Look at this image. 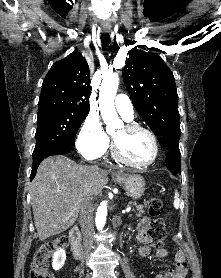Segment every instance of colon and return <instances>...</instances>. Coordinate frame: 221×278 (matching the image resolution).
<instances>
[{"instance_id":"colon-1","label":"colon","mask_w":221,"mask_h":278,"mask_svg":"<svg viewBox=\"0 0 221 278\" xmlns=\"http://www.w3.org/2000/svg\"><path fill=\"white\" fill-rule=\"evenodd\" d=\"M163 203L158 198H151L148 203L149 215L153 218L148 235L154 246L159 247L167 237L166 225L161 215L163 214ZM68 244L67 238L45 243L35 253L30 270V278H51L47 270V261L53 256L54 252Z\"/></svg>"}]
</instances>
